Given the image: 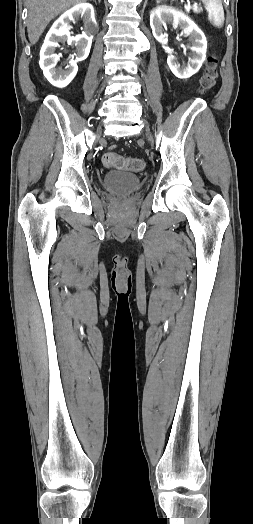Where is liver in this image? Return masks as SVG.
<instances>
[{"label":"liver","instance_id":"1","mask_svg":"<svg viewBox=\"0 0 253 524\" xmlns=\"http://www.w3.org/2000/svg\"><path fill=\"white\" fill-rule=\"evenodd\" d=\"M87 0H27L28 19L27 32L29 40L35 44L48 23L57 15L71 6L86 2Z\"/></svg>","mask_w":253,"mask_h":524}]
</instances>
